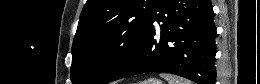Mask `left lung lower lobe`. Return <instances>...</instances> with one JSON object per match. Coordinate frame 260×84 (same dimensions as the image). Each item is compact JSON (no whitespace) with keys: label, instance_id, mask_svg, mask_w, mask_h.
Wrapping results in <instances>:
<instances>
[{"label":"left lung lower lobe","instance_id":"0a47b994","mask_svg":"<svg viewBox=\"0 0 260 84\" xmlns=\"http://www.w3.org/2000/svg\"><path fill=\"white\" fill-rule=\"evenodd\" d=\"M215 36L210 0H156L135 52L109 82L160 71L215 84Z\"/></svg>","mask_w":260,"mask_h":84}]
</instances>
